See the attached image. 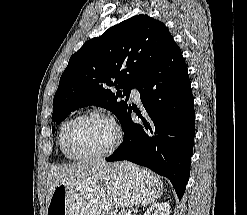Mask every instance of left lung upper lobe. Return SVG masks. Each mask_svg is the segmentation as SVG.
I'll list each match as a JSON object with an SVG mask.
<instances>
[{
  "instance_id": "obj_1",
  "label": "left lung upper lobe",
  "mask_w": 247,
  "mask_h": 215,
  "mask_svg": "<svg viewBox=\"0 0 247 215\" xmlns=\"http://www.w3.org/2000/svg\"><path fill=\"white\" fill-rule=\"evenodd\" d=\"M172 38L164 23L138 15L87 41L71 56L60 78L52 121L60 123L80 107L97 105L121 122L130 108L131 89L158 62Z\"/></svg>"
}]
</instances>
